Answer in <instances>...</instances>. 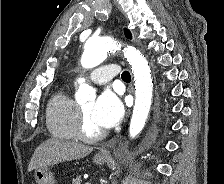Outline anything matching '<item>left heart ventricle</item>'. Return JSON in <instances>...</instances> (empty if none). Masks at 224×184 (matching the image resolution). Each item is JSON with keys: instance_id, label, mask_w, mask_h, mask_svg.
<instances>
[{"instance_id": "1", "label": "left heart ventricle", "mask_w": 224, "mask_h": 184, "mask_svg": "<svg viewBox=\"0 0 224 184\" xmlns=\"http://www.w3.org/2000/svg\"><path fill=\"white\" fill-rule=\"evenodd\" d=\"M81 108H82V110L84 112V115H85V118H86L88 130L90 132H96L98 130H102V128L99 127L91 118V111H92V108H93V102H89L85 105H82Z\"/></svg>"}]
</instances>
